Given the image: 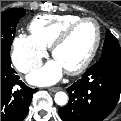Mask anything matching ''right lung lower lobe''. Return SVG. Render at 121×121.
I'll list each match as a JSON object with an SVG mask.
<instances>
[{
    "label": "right lung lower lobe",
    "mask_w": 121,
    "mask_h": 121,
    "mask_svg": "<svg viewBox=\"0 0 121 121\" xmlns=\"http://www.w3.org/2000/svg\"><path fill=\"white\" fill-rule=\"evenodd\" d=\"M11 67L10 56H1V121H22L29 110L33 93Z\"/></svg>",
    "instance_id": "obj_1"
}]
</instances>
